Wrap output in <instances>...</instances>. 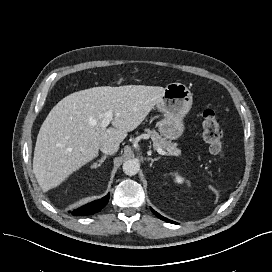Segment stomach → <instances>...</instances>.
I'll use <instances>...</instances> for the list:
<instances>
[{
  "label": "stomach",
  "mask_w": 272,
  "mask_h": 272,
  "mask_svg": "<svg viewBox=\"0 0 272 272\" xmlns=\"http://www.w3.org/2000/svg\"><path fill=\"white\" fill-rule=\"evenodd\" d=\"M193 95L182 83H170L166 86L162 97L156 104L158 111L163 113L156 126L165 138L175 140L184 132L183 118L192 107Z\"/></svg>",
  "instance_id": "1"
}]
</instances>
